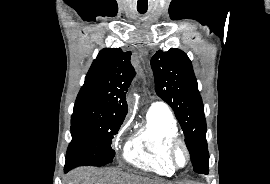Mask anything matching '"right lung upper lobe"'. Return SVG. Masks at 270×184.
I'll use <instances>...</instances> for the list:
<instances>
[{
	"instance_id": "cb5924a9",
	"label": "right lung upper lobe",
	"mask_w": 270,
	"mask_h": 184,
	"mask_svg": "<svg viewBox=\"0 0 270 184\" xmlns=\"http://www.w3.org/2000/svg\"><path fill=\"white\" fill-rule=\"evenodd\" d=\"M130 55L131 52L120 48L101 50L86 75L76 103L89 105L98 114L124 120L125 96L135 76Z\"/></svg>"
}]
</instances>
